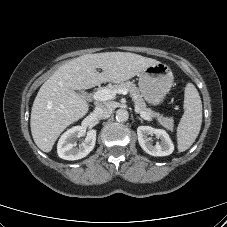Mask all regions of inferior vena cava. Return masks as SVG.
<instances>
[{
	"label": "inferior vena cava",
	"instance_id": "obj_1",
	"mask_svg": "<svg viewBox=\"0 0 227 227\" xmlns=\"http://www.w3.org/2000/svg\"><path fill=\"white\" fill-rule=\"evenodd\" d=\"M113 110H114V107H113L112 103L104 102V103L98 104L95 107L94 112L99 118L106 119V118L110 117Z\"/></svg>",
	"mask_w": 227,
	"mask_h": 227
}]
</instances>
